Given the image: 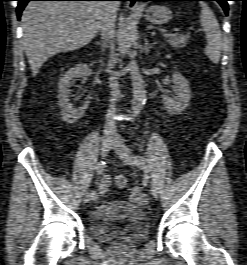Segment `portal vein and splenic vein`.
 I'll return each mask as SVG.
<instances>
[{
    "label": "portal vein and splenic vein",
    "mask_w": 247,
    "mask_h": 265,
    "mask_svg": "<svg viewBox=\"0 0 247 265\" xmlns=\"http://www.w3.org/2000/svg\"><path fill=\"white\" fill-rule=\"evenodd\" d=\"M170 36H173V34L172 33H164L162 35L163 38H167V37H170Z\"/></svg>",
    "instance_id": "portal-vein-and-splenic-vein-1"
}]
</instances>
